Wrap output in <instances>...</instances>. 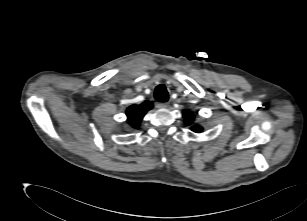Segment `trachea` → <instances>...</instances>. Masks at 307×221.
Wrapping results in <instances>:
<instances>
[{
	"instance_id": "obj_1",
	"label": "trachea",
	"mask_w": 307,
	"mask_h": 221,
	"mask_svg": "<svg viewBox=\"0 0 307 221\" xmlns=\"http://www.w3.org/2000/svg\"><path fill=\"white\" fill-rule=\"evenodd\" d=\"M154 97L159 102H167L169 99V95L166 87L163 84H160L156 87L154 92Z\"/></svg>"
}]
</instances>
